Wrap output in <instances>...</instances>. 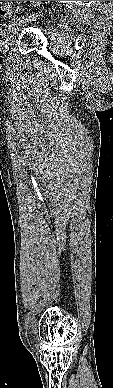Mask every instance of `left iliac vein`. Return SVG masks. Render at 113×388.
I'll return each instance as SVG.
<instances>
[{"mask_svg": "<svg viewBox=\"0 0 113 388\" xmlns=\"http://www.w3.org/2000/svg\"><path fill=\"white\" fill-rule=\"evenodd\" d=\"M20 29H21L20 24H14L11 26L10 32H9L7 39L3 45V53H6L9 50L10 46L14 43Z\"/></svg>", "mask_w": 113, "mask_h": 388, "instance_id": "left-iliac-vein-1", "label": "left iliac vein"}]
</instances>
